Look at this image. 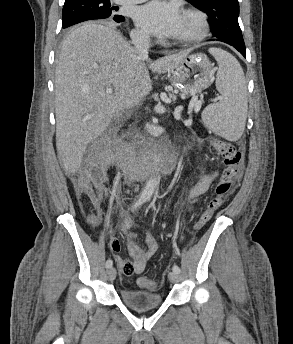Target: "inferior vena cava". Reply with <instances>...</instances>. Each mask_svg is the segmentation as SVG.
Instances as JSON below:
<instances>
[{
    "label": "inferior vena cava",
    "mask_w": 293,
    "mask_h": 344,
    "mask_svg": "<svg viewBox=\"0 0 293 344\" xmlns=\"http://www.w3.org/2000/svg\"><path fill=\"white\" fill-rule=\"evenodd\" d=\"M130 37L139 57L147 59L148 49L150 47L149 35L143 32L134 31L131 32ZM124 103L126 108H132L135 105V102L132 98V92L129 89H127L124 93Z\"/></svg>",
    "instance_id": "obj_1"
}]
</instances>
